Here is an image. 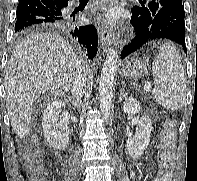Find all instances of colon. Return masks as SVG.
<instances>
[{
  "label": "colon",
  "instance_id": "5ec220e1",
  "mask_svg": "<svg viewBox=\"0 0 197 181\" xmlns=\"http://www.w3.org/2000/svg\"><path fill=\"white\" fill-rule=\"evenodd\" d=\"M176 130L172 122H166L160 140L158 151V173L153 181H171L174 169L172 148L175 142ZM24 166L26 171L36 180L44 181L45 173L41 166V160L37 149L30 148L27 151Z\"/></svg>",
  "mask_w": 197,
  "mask_h": 181
}]
</instances>
